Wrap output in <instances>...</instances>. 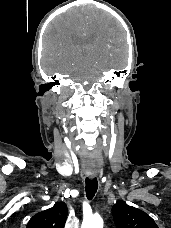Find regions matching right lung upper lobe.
Segmentation results:
<instances>
[{"label":"right lung upper lobe","instance_id":"cb5924a9","mask_svg":"<svg viewBox=\"0 0 171 228\" xmlns=\"http://www.w3.org/2000/svg\"><path fill=\"white\" fill-rule=\"evenodd\" d=\"M67 214L66 204L56 203L52 208L34 215L28 222L27 228H64Z\"/></svg>","mask_w":171,"mask_h":228}]
</instances>
